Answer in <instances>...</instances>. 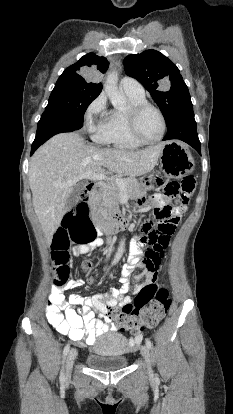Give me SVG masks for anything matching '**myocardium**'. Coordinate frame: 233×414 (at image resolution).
I'll list each match as a JSON object with an SVG mask.
<instances>
[{
  "instance_id": "obj_1",
  "label": "myocardium",
  "mask_w": 233,
  "mask_h": 414,
  "mask_svg": "<svg viewBox=\"0 0 233 414\" xmlns=\"http://www.w3.org/2000/svg\"><path fill=\"white\" fill-rule=\"evenodd\" d=\"M148 109H153L155 110L160 118H161V122H162V131L161 134L159 135L158 138L154 139V140H149L146 139L140 132L139 127H138V119L140 117V115L148 110ZM126 122H127V127L129 132L131 133V135L139 142H141L142 144H155L159 141H161L163 139V137L165 136L166 130H167V121H166V117L163 113V111L156 105L149 103V102H144L141 104H137V105H132L128 108V110L126 111Z\"/></svg>"
}]
</instances>
